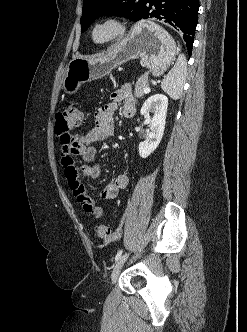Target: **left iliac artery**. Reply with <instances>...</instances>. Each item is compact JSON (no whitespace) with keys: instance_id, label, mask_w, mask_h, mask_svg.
I'll return each instance as SVG.
<instances>
[{"instance_id":"1","label":"left iliac artery","mask_w":247,"mask_h":332,"mask_svg":"<svg viewBox=\"0 0 247 332\" xmlns=\"http://www.w3.org/2000/svg\"><path fill=\"white\" fill-rule=\"evenodd\" d=\"M122 253H123L122 249L118 251V253L116 254V257H115V261L119 260V258L121 257Z\"/></svg>"}]
</instances>
